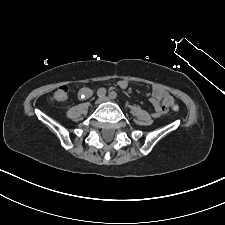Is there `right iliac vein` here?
<instances>
[{
    "mask_svg": "<svg viewBox=\"0 0 225 225\" xmlns=\"http://www.w3.org/2000/svg\"><path fill=\"white\" fill-rule=\"evenodd\" d=\"M101 102H102V98H98V99L95 101V105H99Z\"/></svg>",
    "mask_w": 225,
    "mask_h": 225,
    "instance_id": "obj_1",
    "label": "right iliac vein"
}]
</instances>
